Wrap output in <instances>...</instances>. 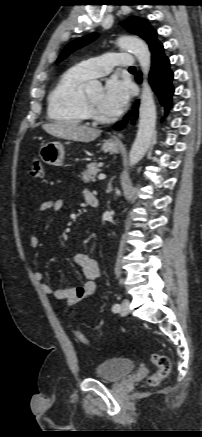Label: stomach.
Listing matches in <instances>:
<instances>
[{
	"label": "stomach",
	"instance_id": "obj_1",
	"mask_svg": "<svg viewBox=\"0 0 202 437\" xmlns=\"http://www.w3.org/2000/svg\"><path fill=\"white\" fill-rule=\"evenodd\" d=\"M119 144L114 140H106L102 144V150L110 154H116L119 152ZM41 160L49 165L60 166L63 163L65 151L60 142H49L41 146L39 151Z\"/></svg>",
	"mask_w": 202,
	"mask_h": 437
}]
</instances>
